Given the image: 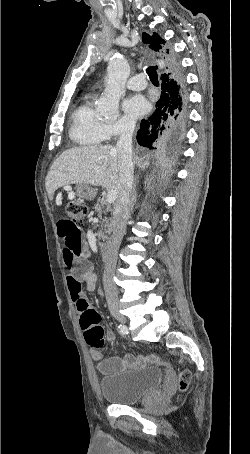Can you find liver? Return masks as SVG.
I'll return each mask as SVG.
<instances>
[{
	"label": "liver",
	"mask_w": 250,
	"mask_h": 454,
	"mask_svg": "<svg viewBox=\"0 0 250 454\" xmlns=\"http://www.w3.org/2000/svg\"><path fill=\"white\" fill-rule=\"evenodd\" d=\"M139 168L148 165L144 158L135 156ZM122 177L121 158L111 145L83 146L64 151L52 164L45 181L49 197L66 185L85 184L120 191Z\"/></svg>",
	"instance_id": "1"
}]
</instances>
